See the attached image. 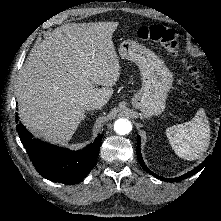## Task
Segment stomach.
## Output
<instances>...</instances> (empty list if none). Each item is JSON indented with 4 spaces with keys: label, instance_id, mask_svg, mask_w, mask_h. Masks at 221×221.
<instances>
[{
    "label": "stomach",
    "instance_id": "obj_1",
    "mask_svg": "<svg viewBox=\"0 0 221 221\" xmlns=\"http://www.w3.org/2000/svg\"><path fill=\"white\" fill-rule=\"evenodd\" d=\"M119 54L134 62L141 74L142 88L131 99L132 105L144 118L160 115L173 83L170 70L154 52L133 40L123 41Z\"/></svg>",
    "mask_w": 221,
    "mask_h": 221
}]
</instances>
